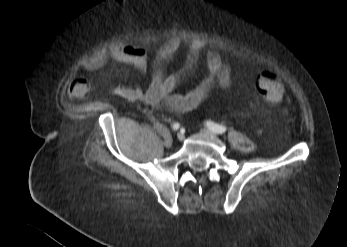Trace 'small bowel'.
Here are the masks:
<instances>
[{
    "label": "small bowel",
    "mask_w": 347,
    "mask_h": 247,
    "mask_svg": "<svg viewBox=\"0 0 347 247\" xmlns=\"http://www.w3.org/2000/svg\"><path fill=\"white\" fill-rule=\"evenodd\" d=\"M181 47L182 42L179 39H169L156 50L152 59L151 81L147 88L144 89L140 85H115L112 88L113 94L127 101H141L155 109L165 108L174 113H185L197 109L215 87L228 88L232 85L229 64L222 60L218 52L209 51L206 54V76L189 91L175 93L178 85L195 70L204 48L200 41L189 42L181 67L175 72L167 73L166 66ZM109 60L133 66L140 73H144L148 66L147 52L143 47L121 45L86 58L82 67L88 72H93L104 67ZM70 91L73 95L82 97L87 93V83L78 81L71 86ZM157 115L151 114L153 118Z\"/></svg>",
    "instance_id": "obj_1"
}]
</instances>
